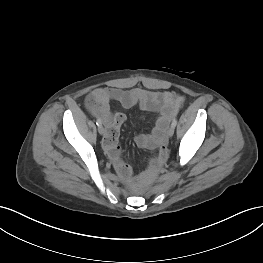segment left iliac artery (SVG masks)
<instances>
[{
	"mask_svg": "<svg viewBox=\"0 0 263 263\" xmlns=\"http://www.w3.org/2000/svg\"><path fill=\"white\" fill-rule=\"evenodd\" d=\"M176 125H177V119H174V120L172 121V126L175 127Z\"/></svg>",
	"mask_w": 263,
	"mask_h": 263,
	"instance_id": "obj_1",
	"label": "left iliac artery"
}]
</instances>
